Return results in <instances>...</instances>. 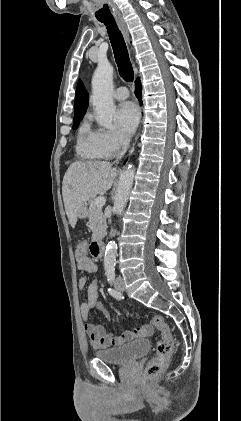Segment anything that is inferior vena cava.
Returning <instances> with one entry per match:
<instances>
[{"mask_svg": "<svg viewBox=\"0 0 241 421\" xmlns=\"http://www.w3.org/2000/svg\"><path fill=\"white\" fill-rule=\"evenodd\" d=\"M129 144H130V138H128V137H122L121 138L122 150L119 153L117 159H121L124 156V154L126 153L128 147H129Z\"/></svg>", "mask_w": 241, "mask_h": 421, "instance_id": "inferior-vena-cava-1", "label": "inferior vena cava"}]
</instances>
